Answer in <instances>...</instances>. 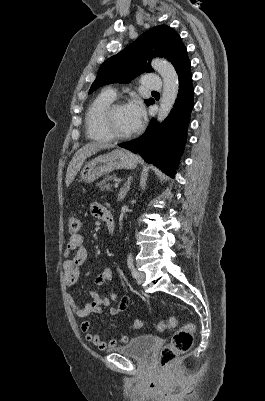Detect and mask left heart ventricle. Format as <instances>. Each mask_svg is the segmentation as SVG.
<instances>
[{
    "label": "left heart ventricle",
    "instance_id": "b2bd125f",
    "mask_svg": "<svg viewBox=\"0 0 265 401\" xmlns=\"http://www.w3.org/2000/svg\"><path fill=\"white\" fill-rule=\"evenodd\" d=\"M111 125L114 132L119 135H127L134 130L127 116L125 106H121L116 109L111 119Z\"/></svg>",
    "mask_w": 265,
    "mask_h": 401
}]
</instances>
